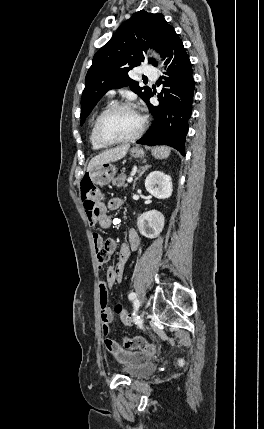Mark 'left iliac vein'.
Here are the masks:
<instances>
[{
  "mask_svg": "<svg viewBox=\"0 0 264 429\" xmlns=\"http://www.w3.org/2000/svg\"><path fill=\"white\" fill-rule=\"evenodd\" d=\"M145 317V312H140L139 318L143 319Z\"/></svg>",
  "mask_w": 264,
  "mask_h": 429,
  "instance_id": "obj_1",
  "label": "left iliac vein"
}]
</instances>
